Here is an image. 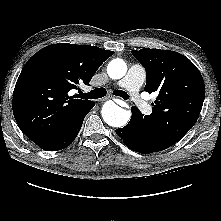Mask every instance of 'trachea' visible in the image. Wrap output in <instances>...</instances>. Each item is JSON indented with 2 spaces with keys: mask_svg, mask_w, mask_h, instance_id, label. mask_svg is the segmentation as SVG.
<instances>
[{
  "mask_svg": "<svg viewBox=\"0 0 221 221\" xmlns=\"http://www.w3.org/2000/svg\"><path fill=\"white\" fill-rule=\"evenodd\" d=\"M106 93H107L106 89L96 88L88 93H81L79 97L82 99H98V98L104 97ZM113 94L123 98L124 100L129 99V95L125 91H122V90H115Z\"/></svg>",
  "mask_w": 221,
  "mask_h": 221,
  "instance_id": "1",
  "label": "trachea"
}]
</instances>
